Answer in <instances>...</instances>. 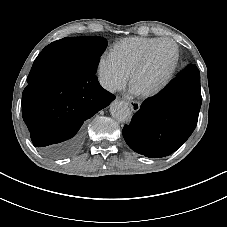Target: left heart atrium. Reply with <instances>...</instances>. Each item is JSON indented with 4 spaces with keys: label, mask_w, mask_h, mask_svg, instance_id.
<instances>
[{
    "label": "left heart atrium",
    "mask_w": 227,
    "mask_h": 227,
    "mask_svg": "<svg viewBox=\"0 0 227 227\" xmlns=\"http://www.w3.org/2000/svg\"><path fill=\"white\" fill-rule=\"evenodd\" d=\"M131 92L134 93V92H136V90L133 88V89L131 90Z\"/></svg>",
    "instance_id": "39dd6f15"
}]
</instances>
